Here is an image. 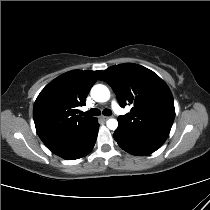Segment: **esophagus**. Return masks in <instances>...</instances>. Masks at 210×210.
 <instances>
[{
  "instance_id": "34e87169",
  "label": "esophagus",
  "mask_w": 210,
  "mask_h": 210,
  "mask_svg": "<svg viewBox=\"0 0 210 210\" xmlns=\"http://www.w3.org/2000/svg\"><path fill=\"white\" fill-rule=\"evenodd\" d=\"M101 119H102L103 121H106V120L109 119V117H108V116H101Z\"/></svg>"
}]
</instances>
